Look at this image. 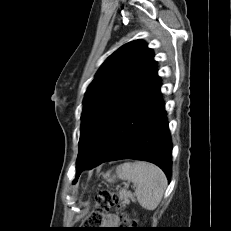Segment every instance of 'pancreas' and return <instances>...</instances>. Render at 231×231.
Wrapping results in <instances>:
<instances>
[{
    "label": "pancreas",
    "mask_w": 231,
    "mask_h": 231,
    "mask_svg": "<svg viewBox=\"0 0 231 231\" xmlns=\"http://www.w3.org/2000/svg\"><path fill=\"white\" fill-rule=\"evenodd\" d=\"M118 197L124 204H128L129 199H134L133 194L130 191L125 190L120 191Z\"/></svg>",
    "instance_id": "obj_1"
}]
</instances>
